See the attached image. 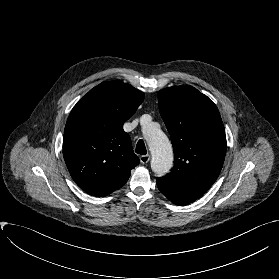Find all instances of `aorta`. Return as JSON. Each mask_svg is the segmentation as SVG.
Returning <instances> with one entry per match:
<instances>
[{"mask_svg": "<svg viewBox=\"0 0 279 279\" xmlns=\"http://www.w3.org/2000/svg\"><path fill=\"white\" fill-rule=\"evenodd\" d=\"M146 117H142L141 124L143 135L151 152V169L158 175L169 172L173 165V150L165 133L152 122H147Z\"/></svg>", "mask_w": 279, "mask_h": 279, "instance_id": "1", "label": "aorta"}]
</instances>
